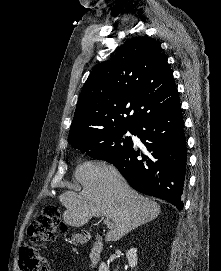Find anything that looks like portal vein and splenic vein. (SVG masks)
<instances>
[{"mask_svg": "<svg viewBox=\"0 0 221 271\" xmlns=\"http://www.w3.org/2000/svg\"><path fill=\"white\" fill-rule=\"evenodd\" d=\"M104 223H106L107 227H112V223H111L110 217H108V215H105Z\"/></svg>", "mask_w": 221, "mask_h": 271, "instance_id": "18ae733b", "label": "portal vein and splenic vein"}]
</instances>
